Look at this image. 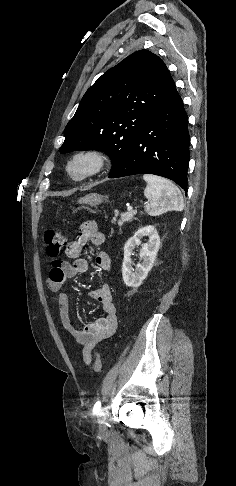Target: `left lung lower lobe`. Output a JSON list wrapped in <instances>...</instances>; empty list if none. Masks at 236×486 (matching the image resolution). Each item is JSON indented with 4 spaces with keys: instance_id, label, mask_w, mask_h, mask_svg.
Masks as SVG:
<instances>
[{
    "instance_id": "1",
    "label": "left lung lower lobe",
    "mask_w": 236,
    "mask_h": 486,
    "mask_svg": "<svg viewBox=\"0 0 236 486\" xmlns=\"http://www.w3.org/2000/svg\"><path fill=\"white\" fill-rule=\"evenodd\" d=\"M189 145L188 117L175 89L108 177L154 174L173 180L187 192Z\"/></svg>"
}]
</instances>
